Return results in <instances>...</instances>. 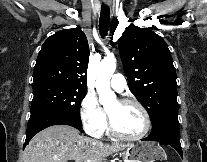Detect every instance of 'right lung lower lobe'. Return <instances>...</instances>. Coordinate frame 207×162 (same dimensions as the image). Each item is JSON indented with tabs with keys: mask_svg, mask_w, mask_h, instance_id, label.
<instances>
[{
	"mask_svg": "<svg viewBox=\"0 0 207 162\" xmlns=\"http://www.w3.org/2000/svg\"><path fill=\"white\" fill-rule=\"evenodd\" d=\"M60 124L69 125L77 129L82 127L81 120H77L76 118L60 111L46 109L31 113L30 119L28 121L24 147L39 131L50 126Z\"/></svg>",
	"mask_w": 207,
	"mask_h": 162,
	"instance_id": "1",
	"label": "right lung lower lobe"
}]
</instances>
